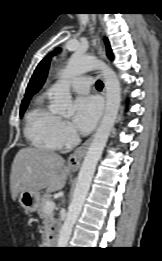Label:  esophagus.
<instances>
[{
    "label": "esophagus",
    "mask_w": 162,
    "mask_h": 261,
    "mask_svg": "<svg viewBox=\"0 0 162 261\" xmlns=\"http://www.w3.org/2000/svg\"><path fill=\"white\" fill-rule=\"evenodd\" d=\"M98 55L102 60L107 59L105 48L100 44L98 47ZM103 95L105 96V87L103 89ZM94 135H95V133L91 137H89L80 147H78L73 154L70 155V157L68 159V166L71 169H73V170L79 169L81 161H82L90 143L92 142Z\"/></svg>",
    "instance_id": "34e87169"
}]
</instances>
